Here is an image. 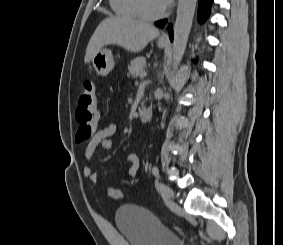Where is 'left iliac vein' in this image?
Listing matches in <instances>:
<instances>
[{
    "label": "left iliac vein",
    "mask_w": 283,
    "mask_h": 245,
    "mask_svg": "<svg viewBox=\"0 0 283 245\" xmlns=\"http://www.w3.org/2000/svg\"><path fill=\"white\" fill-rule=\"evenodd\" d=\"M159 189L162 193L165 203L167 205H172L173 197H174V192L172 191V189L163 183L159 184Z\"/></svg>",
    "instance_id": "4c4485c4"
}]
</instances>
